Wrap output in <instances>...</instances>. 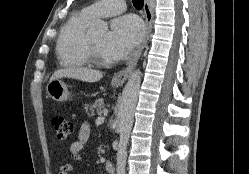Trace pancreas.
I'll return each instance as SVG.
<instances>
[{"mask_svg":"<svg viewBox=\"0 0 249 174\" xmlns=\"http://www.w3.org/2000/svg\"><path fill=\"white\" fill-rule=\"evenodd\" d=\"M103 107H104L103 99H97L91 104H86L84 109L86 111L88 110L90 111L88 113L89 116H94L95 110L97 111L99 115H101Z\"/></svg>","mask_w":249,"mask_h":174,"instance_id":"obj_1","label":"pancreas"}]
</instances>
